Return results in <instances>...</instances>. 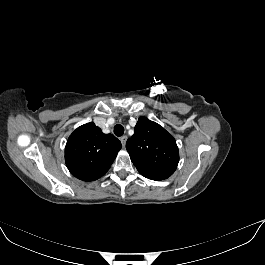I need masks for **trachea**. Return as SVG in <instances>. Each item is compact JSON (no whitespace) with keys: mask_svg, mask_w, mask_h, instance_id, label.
Segmentation results:
<instances>
[{"mask_svg":"<svg viewBox=\"0 0 265 265\" xmlns=\"http://www.w3.org/2000/svg\"><path fill=\"white\" fill-rule=\"evenodd\" d=\"M114 133L118 137L122 136L124 134V127L120 124L115 125Z\"/></svg>","mask_w":265,"mask_h":265,"instance_id":"1","label":"trachea"}]
</instances>
